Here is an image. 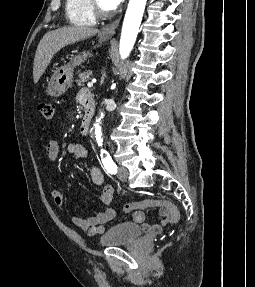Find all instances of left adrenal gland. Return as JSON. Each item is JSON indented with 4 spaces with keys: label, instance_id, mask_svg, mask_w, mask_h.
<instances>
[{
    "label": "left adrenal gland",
    "instance_id": "a2214340",
    "mask_svg": "<svg viewBox=\"0 0 255 287\" xmlns=\"http://www.w3.org/2000/svg\"><path fill=\"white\" fill-rule=\"evenodd\" d=\"M103 76H105V74H103ZM101 84H103V78H102V80H101Z\"/></svg>",
    "mask_w": 255,
    "mask_h": 287
}]
</instances>
